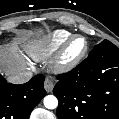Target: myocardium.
I'll list each match as a JSON object with an SVG mask.
<instances>
[{"label": "myocardium", "mask_w": 119, "mask_h": 119, "mask_svg": "<svg viewBox=\"0 0 119 119\" xmlns=\"http://www.w3.org/2000/svg\"><path fill=\"white\" fill-rule=\"evenodd\" d=\"M76 39H82L84 41V48L83 50L74 58H67L66 57V51L70 44L76 40ZM89 50V43L86 37L82 35H71L58 49L54 60H53V69L56 71H70L77 67L82 60L86 57Z\"/></svg>", "instance_id": "obj_1"}]
</instances>
